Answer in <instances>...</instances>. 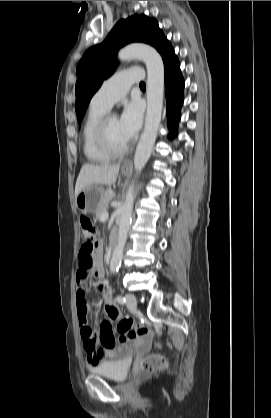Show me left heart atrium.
<instances>
[{
  "mask_svg": "<svg viewBox=\"0 0 271 418\" xmlns=\"http://www.w3.org/2000/svg\"><path fill=\"white\" fill-rule=\"evenodd\" d=\"M119 122L123 136L127 141L131 140L142 125V107L140 103L138 101L127 103Z\"/></svg>",
  "mask_w": 271,
  "mask_h": 418,
  "instance_id": "39dd6f15",
  "label": "left heart atrium"
}]
</instances>
